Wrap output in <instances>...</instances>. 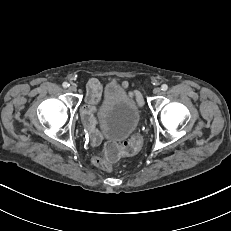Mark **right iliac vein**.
Returning <instances> with one entry per match:
<instances>
[{"instance_id":"right-iliac-vein-1","label":"right iliac vein","mask_w":231,"mask_h":231,"mask_svg":"<svg viewBox=\"0 0 231 231\" xmlns=\"http://www.w3.org/2000/svg\"><path fill=\"white\" fill-rule=\"evenodd\" d=\"M68 90H69L70 92H76L77 87H76V85L72 84V85L69 86Z\"/></svg>"}]
</instances>
